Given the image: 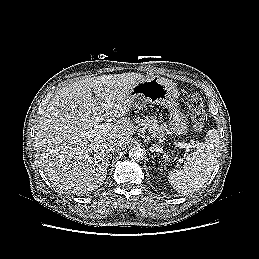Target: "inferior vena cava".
I'll return each instance as SVG.
<instances>
[{"label":"inferior vena cava","mask_w":259,"mask_h":259,"mask_svg":"<svg viewBox=\"0 0 259 259\" xmlns=\"http://www.w3.org/2000/svg\"><path fill=\"white\" fill-rule=\"evenodd\" d=\"M123 143L120 140H110L108 141V148L110 151L115 152L122 148Z\"/></svg>","instance_id":"602c4592"}]
</instances>
